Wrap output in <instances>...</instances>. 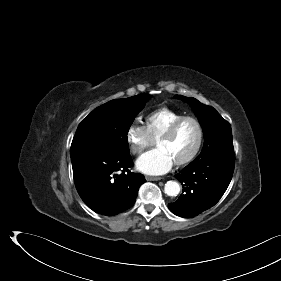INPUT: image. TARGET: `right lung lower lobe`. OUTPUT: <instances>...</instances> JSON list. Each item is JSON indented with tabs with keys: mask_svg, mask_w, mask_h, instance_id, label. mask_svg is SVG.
Here are the masks:
<instances>
[{
	"mask_svg": "<svg viewBox=\"0 0 281 281\" xmlns=\"http://www.w3.org/2000/svg\"><path fill=\"white\" fill-rule=\"evenodd\" d=\"M131 166L130 154L94 155L72 161L78 194L87 206L102 215L112 216L129 209L139 187L146 182L143 175L129 170Z\"/></svg>",
	"mask_w": 281,
	"mask_h": 281,
	"instance_id": "98d812e1",
	"label": "right lung lower lobe"
}]
</instances>
